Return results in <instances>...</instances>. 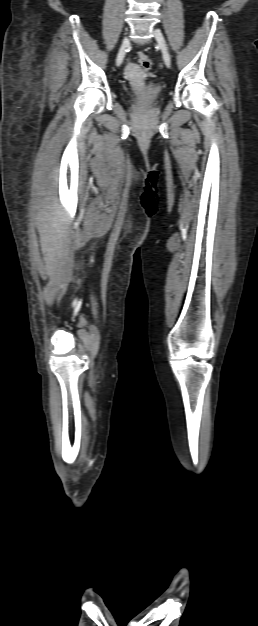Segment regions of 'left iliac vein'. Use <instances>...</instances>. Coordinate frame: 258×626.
Returning <instances> with one entry per match:
<instances>
[{
	"label": "left iliac vein",
	"mask_w": 258,
	"mask_h": 626,
	"mask_svg": "<svg viewBox=\"0 0 258 626\" xmlns=\"http://www.w3.org/2000/svg\"><path fill=\"white\" fill-rule=\"evenodd\" d=\"M154 36H155V39H156L158 45L161 48L165 65L168 68H170L171 67V57H170V54H169L167 46H166L165 38H164L163 34L161 33V31L158 30V29L154 30Z\"/></svg>",
	"instance_id": "left-iliac-vein-1"
}]
</instances>
